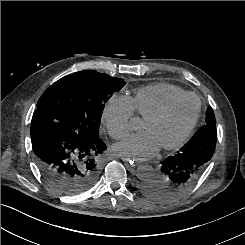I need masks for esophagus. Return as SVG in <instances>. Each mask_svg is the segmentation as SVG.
<instances>
[{"instance_id":"34e87169","label":"esophagus","mask_w":245,"mask_h":245,"mask_svg":"<svg viewBox=\"0 0 245 245\" xmlns=\"http://www.w3.org/2000/svg\"><path fill=\"white\" fill-rule=\"evenodd\" d=\"M121 159L122 161L127 162L130 167H137L140 164V162L132 158L122 157Z\"/></svg>"}]
</instances>
